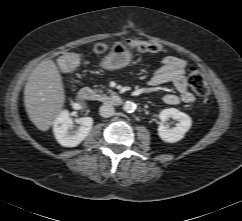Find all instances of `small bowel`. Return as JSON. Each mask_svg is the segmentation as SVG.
<instances>
[{
	"instance_id": "obj_1",
	"label": "small bowel",
	"mask_w": 242,
	"mask_h": 221,
	"mask_svg": "<svg viewBox=\"0 0 242 221\" xmlns=\"http://www.w3.org/2000/svg\"><path fill=\"white\" fill-rule=\"evenodd\" d=\"M187 62L176 56H167L160 61V66L149 78L150 86L172 84L179 95L168 93L163 96V102L173 106L180 102L191 104L195 101L194 95L189 91L186 80Z\"/></svg>"
}]
</instances>
